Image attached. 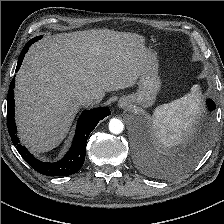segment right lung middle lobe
<instances>
[{"instance_id": "obj_1", "label": "right lung middle lobe", "mask_w": 224, "mask_h": 224, "mask_svg": "<svg viewBox=\"0 0 224 224\" xmlns=\"http://www.w3.org/2000/svg\"><path fill=\"white\" fill-rule=\"evenodd\" d=\"M35 38H36V40H39V39L42 38V36H37V37H35Z\"/></svg>"}]
</instances>
